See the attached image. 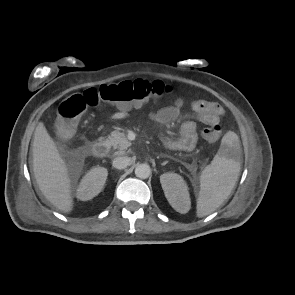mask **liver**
<instances>
[{
	"label": "liver",
	"instance_id": "6515ba94",
	"mask_svg": "<svg viewBox=\"0 0 295 295\" xmlns=\"http://www.w3.org/2000/svg\"><path fill=\"white\" fill-rule=\"evenodd\" d=\"M32 153L34 177L40 191L59 211L71 212L74 203L68 168L43 122L35 129Z\"/></svg>",
	"mask_w": 295,
	"mask_h": 295
}]
</instances>
